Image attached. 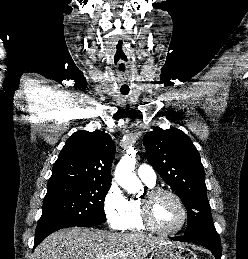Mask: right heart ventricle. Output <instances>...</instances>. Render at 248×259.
<instances>
[{"mask_svg": "<svg viewBox=\"0 0 248 259\" xmlns=\"http://www.w3.org/2000/svg\"><path fill=\"white\" fill-rule=\"evenodd\" d=\"M146 185L150 188L154 186L148 184ZM124 230H129L132 232H144L147 230L141 216L140 199L133 198L129 200V210Z\"/></svg>", "mask_w": 248, "mask_h": 259, "instance_id": "obj_1", "label": "right heart ventricle"}]
</instances>
